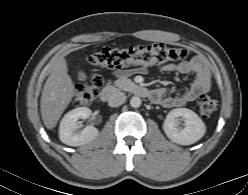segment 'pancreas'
<instances>
[{
    "mask_svg": "<svg viewBox=\"0 0 248 195\" xmlns=\"http://www.w3.org/2000/svg\"><path fill=\"white\" fill-rule=\"evenodd\" d=\"M115 85L122 90H128L130 87H133L135 84L127 78H120L115 82Z\"/></svg>",
    "mask_w": 248,
    "mask_h": 195,
    "instance_id": "obj_1",
    "label": "pancreas"
}]
</instances>
